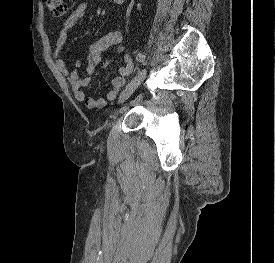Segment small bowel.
Segmentation results:
<instances>
[{"label": "small bowel", "mask_w": 275, "mask_h": 263, "mask_svg": "<svg viewBox=\"0 0 275 263\" xmlns=\"http://www.w3.org/2000/svg\"><path fill=\"white\" fill-rule=\"evenodd\" d=\"M90 9V4L87 1H82L76 4L71 15L64 21L55 43L53 52V59L57 69L66 78L74 97L79 102H84L90 109L103 108L108 102L114 100L119 90L124 86L126 77L129 76L133 70L134 65L129 55H125V64L120 67L119 75L112 79L111 89L102 98H95L87 96L84 87L88 86L92 80V75L101 63L102 53L110 47H114V53H119L123 50V35L120 30H113L95 42H93L87 49L84 57L87 62L86 74L83 77L79 76V69L82 66V58H77L74 61V68L69 70L61 55L62 49L66 44L68 33L70 30L78 27Z\"/></svg>", "instance_id": "small-bowel-1"}]
</instances>
